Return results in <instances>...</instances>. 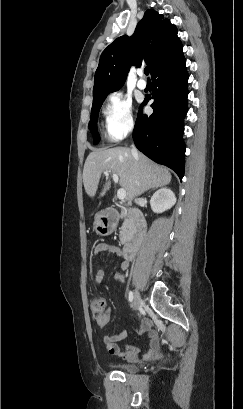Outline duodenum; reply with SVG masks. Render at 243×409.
Masks as SVG:
<instances>
[{"mask_svg": "<svg viewBox=\"0 0 243 409\" xmlns=\"http://www.w3.org/2000/svg\"><path fill=\"white\" fill-rule=\"evenodd\" d=\"M110 215H114L115 211L112 207L108 208ZM132 218L135 220V227L131 233L129 242L123 247L122 253L126 259H132L137 254L142 238L146 233V221L142 213L137 210L131 212Z\"/></svg>", "mask_w": 243, "mask_h": 409, "instance_id": "1", "label": "duodenum"}]
</instances>
